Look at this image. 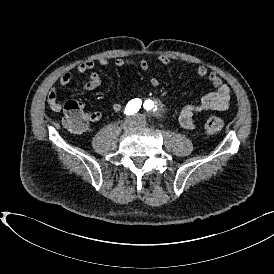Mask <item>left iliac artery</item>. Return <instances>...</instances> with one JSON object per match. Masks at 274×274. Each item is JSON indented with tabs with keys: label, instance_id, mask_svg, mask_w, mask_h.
Returning a JSON list of instances; mask_svg holds the SVG:
<instances>
[{
	"label": "left iliac artery",
	"instance_id": "obj_1",
	"mask_svg": "<svg viewBox=\"0 0 274 274\" xmlns=\"http://www.w3.org/2000/svg\"><path fill=\"white\" fill-rule=\"evenodd\" d=\"M153 107H154V102H153V101H151V100H146V101L144 102V108H145L147 111L153 109Z\"/></svg>",
	"mask_w": 274,
	"mask_h": 274
}]
</instances>
